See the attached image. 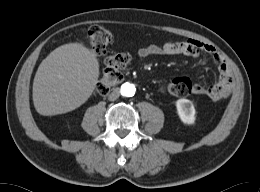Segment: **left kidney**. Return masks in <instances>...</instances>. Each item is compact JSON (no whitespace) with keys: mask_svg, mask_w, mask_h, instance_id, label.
I'll use <instances>...</instances> for the list:
<instances>
[{"mask_svg":"<svg viewBox=\"0 0 260 192\" xmlns=\"http://www.w3.org/2000/svg\"><path fill=\"white\" fill-rule=\"evenodd\" d=\"M177 113L180 120L188 125L195 122V108L193 103L188 99H179L176 101Z\"/></svg>","mask_w":260,"mask_h":192,"instance_id":"5707ae66","label":"left kidney"}]
</instances>
